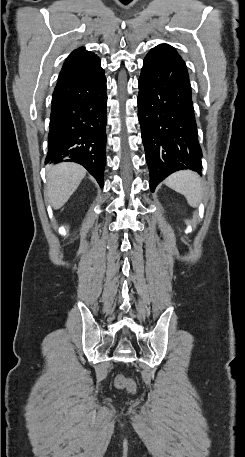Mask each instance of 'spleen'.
I'll use <instances>...</instances> for the list:
<instances>
[{"instance_id":"obj_1","label":"spleen","mask_w":245,"mask_h":457,"mask_svg":"<svg viewBox=\"0 0 245 457\" xmlns=\"http://www.w3.org/2000/svg\"><path fill=\"white\" fill-rule=\"evenodd\" d=\"M165 184L173 188V190L184 194L191 206L200 204L204 186L197 172H193V170H178V172H173L166 178Z\"/></svg>"}]
</instances>
